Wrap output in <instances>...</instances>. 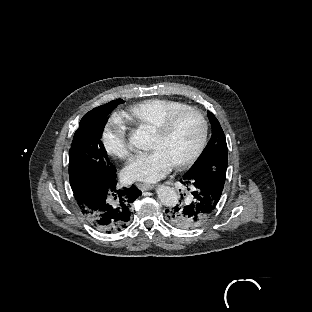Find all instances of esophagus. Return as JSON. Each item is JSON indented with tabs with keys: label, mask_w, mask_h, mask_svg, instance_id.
Returning <instances> with one entry per match:
<instances>
[{
	"label": "esophagus",
	"mask_w": 312,
	"mask_h": 312,
	"mask_svg": "<svg viewBox=\"0 0 312 312\" xmlns=\"http://www.w3.org/2000/svg\"><path fill=\"white\" fill-rule=\"evenodd\" d=\"M136 185L141 191H149L153 189L155 186L154 184L151 183H137Z\"/></svg>",
	"instance_id": "esophagus-1"
}]
</instances>
